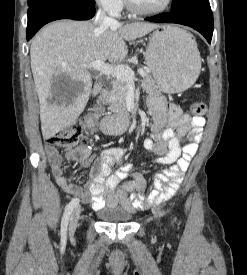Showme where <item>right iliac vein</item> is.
<instances>
[{"label": "right iliac vein", "instance_id": "1", "mask_svg": "<svg viewBox=\"0 0 247 275\" xmlns=\"http://www.w3.org/2000/svg\"><path fill=\"white\" fill-rule=\"evenodd\" d=\"M81 209L80 207H77L71 214L70 222H69V234H74L78 220L80 218Z\"/></svg>", "mask_w": 247, "mask_h": 275}]
</instances>
